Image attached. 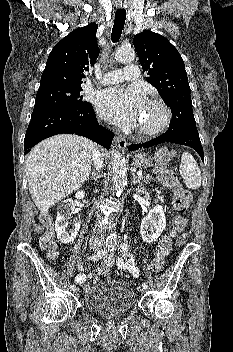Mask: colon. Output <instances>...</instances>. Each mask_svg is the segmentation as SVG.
<instances>
[{"mask_svg": "<svg viewBox=\"0 0 233 352\" xmlns=\"http://www.w3.org/2000/svg\"><path fill=\"white\" fill-rule=\"evenodd\" d=\"M172 159V153L163 149L158 152L156 156V171L160 180L168 187L173 190V206L175 210V216L172 220V228L167 236L162 238L156 247V252L151 260V269L155 272H160L166 263V259L169 256L172 249V238L178 232L183 231L187 226L186 212L190 208L192 197L189 191H187L177 180L176 175L170 169L169 164ZM41 249L50 257H55L57 254V243L54 239V230L51 224L45 225V233L39 240ZM114 263V259L111 256H107L103 261L96 267L93 272V278H99L110 271Z\"/></svg>", "mask_w": 233, "mask_h": 352, "instance_id": "colon-1", "label": "colon"}]
</instances>
